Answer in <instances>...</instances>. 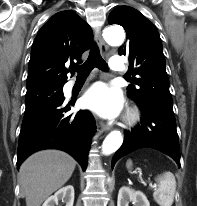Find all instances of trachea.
<instances>
[{
  "instance_id": "trachea-1",
  "label": "trachea",
  "mask_w": 197,
  "mask_h": 206,
  "mask_svg": "<svg viewBox=\"0 0 197 206\" xmlns=\"http://www.w3.org/2000/svg\"><path fill=\"white\" fill-rule=\"evenodd\" d=\"M94 67H97L103 71H106L108 69V65L101 57L99 50L96 47L92 49L85 63L80 66L73 67L72 70H75L78 73L77 77H86Z\"/></svg>"
}]
</instances>
